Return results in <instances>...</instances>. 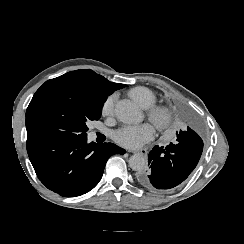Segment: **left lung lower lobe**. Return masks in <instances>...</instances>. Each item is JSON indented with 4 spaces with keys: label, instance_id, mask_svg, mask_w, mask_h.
<instances>
[{
    "label": "left lung lower lobe",
    "instance_id": "obj_1",
    "mask_svg": "<svg viewBox=\"0 0 244 244\" xmlns=\"http://www.w3.org/2000/svg\"><path fill=\"white\" fill-rule=\"evenodd\" d=\"M177 139L166 147L156 145L149 153V169L140 172L139 183L148 188L170 189L182 183L195 169L203 151L199 123L182 115Z\"/></svg>",
    "mask_w": 244,
    "mask_h": 244
}]
</instances>
